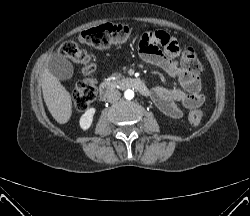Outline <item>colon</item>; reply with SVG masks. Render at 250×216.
<instances>
[{
  "instance_id": "1",
  "label": "colon",
  "mask_w": 250,
  "mask_h": 216,
  "mask_svg": "<svg viewBox=\"0 0 250 216\" xmlns=\"http://www.w3.org/2000/svg\"><path fill=\"white\" fill-rule=\"evenodd\" d=\"M130 39V28L124 25L103 24L86 31L79 36L81 44L106 49L112 46H121ZM60 55L74 63L82 66L85 75L89 76L95 65L87 51L78 43L73 41L65 42L60 48ZM181 67L190 74H199L202 65L192 47H185L179 59ZM96 85L90 78L78 83L73 91L72 98L74 106L79 111L86 110L96 97ZM204 113L200 107H195L188 113V121L191 125L197 126L201 123Z\"/></svg>"
}]
</instances>
